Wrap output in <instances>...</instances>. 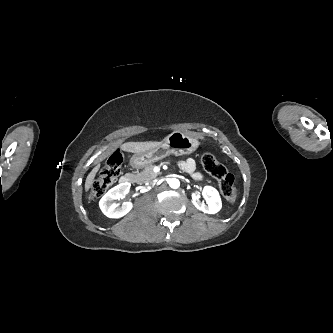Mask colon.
I'll list each match as a JSON object with an SVG mask.
<instances>
[{
	"label": "colon",
	"instance_id": "obj_1",
	"mask_svg": "<svg viewBox=\"0 0 333 333\" xmlns=\"http://www.w3.org/2000/svg\"><path fill=\"white\" fill-rule=\"evenodd\" d=\"M122 162L123 154L120 150L110 155L100 175L91 185L89 194L91 200L101 197L115 183L120 174ZM201 163L204 169L218 181L220 191L226 200L234 202L238 195L234 176L211 153H203Z\"/></svg>",
	"mask_w": 333,
	"mask_h": 333
}]
</instances>
